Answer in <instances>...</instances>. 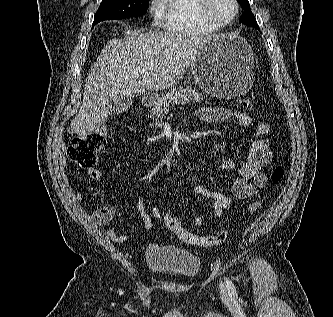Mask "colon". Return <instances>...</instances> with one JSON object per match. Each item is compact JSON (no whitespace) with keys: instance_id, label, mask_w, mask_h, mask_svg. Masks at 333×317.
Listing matches in <instances>:
<instances>
[{"instance_id":"5ec220e1","label":"colon","mask_w":333,"mask_h":317,"mask_svg":"<svg viewBox=\"0 0 333 317\" xmlns=\"http://www.w3.org/2000/svg\"><path fill=\"white\" fill-rule=\"evenodd\" d=\"M239 104L246 110L253 109V102L250 99L242 98ZM106 144V135L103 131H93L81 136L75 137L67 148V156L83 168H93L97 163L98 154ZM285 175V169L282 166L273 168L269 180L272 184H279ZM262 204L260 198L253 200L248 206V212H256ZM169 230L173 231L182 241L196 246H213L225 242L231 235L230 229L222 230L216 234L202 236L186 231L180 220L172 211H161L160 219Z\"/></svg>"}]
</instances>
